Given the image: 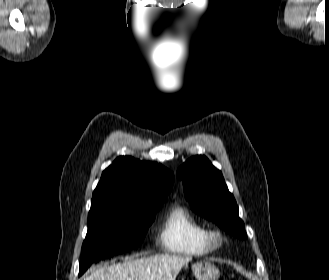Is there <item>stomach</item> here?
Instances as JSON below:
<instances>
[{"mask_svg": "<svg viewBox=\"0 0 329 280\" xmlns=\"http://www.w3.org/2000/svg\"><path fill=\"white\" fill-rule=\"evenodd\" d=\"M193 274L197 280H217L219 269L211 262H197L192 266Z\"/></svg>", "mask_w": 329, "mask_h": 280, "instance_id": "obj_1", "label": "stomach"}]
</instances>
